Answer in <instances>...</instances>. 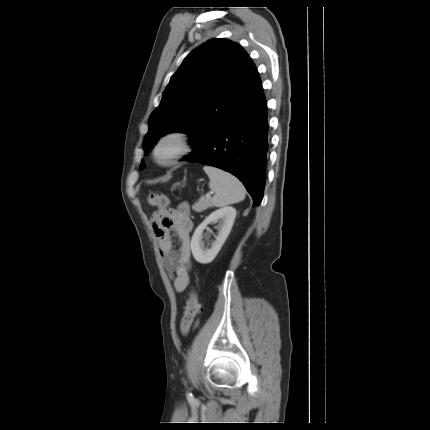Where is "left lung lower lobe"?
Here are the masks:
<instances>
[{"label": "left lung lower lobe", "mask_w": 430, "mask_h": 430, "mask_svg": "<svg viewBox=\"0 0 430 430\" xmlns=\"http://www.w3.org/2000/svg\"><path fill=\"white\" fill-rule=\"evenodd\" d=\"M267 106L260 84L225 117L202 127L190 155L181 161L197 162L230 172L245 185L253 207L263 198L268 140Z\"/></svg>", "instance_id": "left-lung-lower-lobe-1"}]
</instances>
